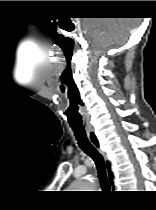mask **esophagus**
Masks as SVG:
<instances>
[{"mask_svg": "<svg viewBox=\"0 0 156 210\" xmlns=\"http://www.w3.org/2000/svg\"><path fill=\"white\" fill-rule=\"evenodd\" d=\"M88 138L91 141V143L94 145V147L101 153V155L104 158L105 164H106V170H107V177L109 181V185H112V181L114 180V177L110 176V173L112 172V162L108 160L107 154L102 150L100 141L94 131L87 132Z\"/></svg>", "mask_w": 156, "mask_h": 210, "instance_id": "obj_1", "label": "esophagus"}]
</instances>
